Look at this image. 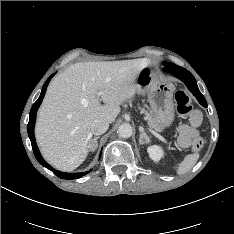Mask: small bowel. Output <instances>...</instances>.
<instances>
[{"label": "small bowel", "instance_id": "obj_1", "mask_svg": "<svg viewBox=\"0 0 234 234\" xmlns=\"http://www.w3.org/2000/svg\"><path fill=\"white\" fill-rule=\"evenodd\" d=\"M202 116L199 111H195L190 117L189 124H183L178 128V144L181 147H188L192 139L199 135L198 127L201 124Z\"/></svg>", "mask_w": 234, "mask_h": 234}]
</instances>
